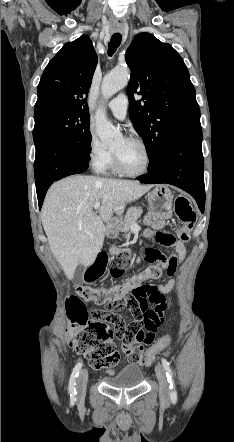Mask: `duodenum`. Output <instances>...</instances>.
<instances>
[{
  "label": "duodenum",
  "mask_w": 234,
  "mask_h": 442,
  "mask_svg": "<svg viewBox=\"0 0 234 442\" xmlns=\"http://www.w3.org/2000/svg\"><path fill=\"white\" fill-rule=\"evenodd\" d=\"M118 229H119L118 224L115 222H112V223L108 224L106 233L108 236L112 237L118 233Z\"/></svg>",
  "instance_id": "1"
}]
</instances>
